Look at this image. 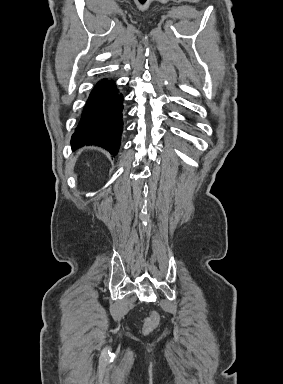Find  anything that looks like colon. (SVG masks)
<instances>
[{"label": "colon", "instance_id": "1", "mask_svg": "<svg viewBox=\"0 0 283 384\" xmlns=\"http://www.w3.org/2000/svg\"><path fill=\"white\" fill-rule=\"evenodd\" d=\"M160 317L156 312H152L144 322L143 330L145 333H150L153 331L159 324Z\"/></svg>", "mask_w": 283, "mask_h": 384}]
</instances>
